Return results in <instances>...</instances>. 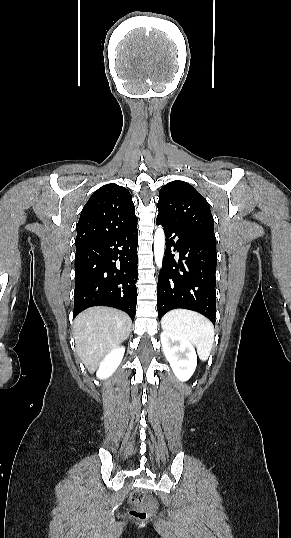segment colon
<instances>
[{
	"label": "colon",
	"mask_w": 291,
	"mask_h": 538,
	"mask_svg": "<svg viewBox=\"0 0 291 538\" xmlns=\"http://www.w3.org/2000/svg\"><path fill=\"white\" fill-rule=\"evenodd\" d=\"M144 500L145 494L140 490H135L130 494V502L132 506L129 513L139 520H146L152 515V511L149 508L141 506Z\"/></svg>",
	"instance_id": "colon-1"
}]
</instances>
